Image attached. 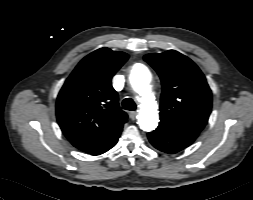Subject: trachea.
Here are the masks:
<instances>
[{"label": "trachea", "instance_id": "trachea-1", "mask_svg": "<svg viewBox=\"0 0 253 200\" xmlns=\"http://www.w3.org/2000/svg\"><path fill=\"white\" fill-rule=\"evenodd\" d=\"M123 109L134 111L136 109V104L131 98H126L122 102Z\"/></svg>", "mask_w": 253, "mask_h": 200}]
</instances>
